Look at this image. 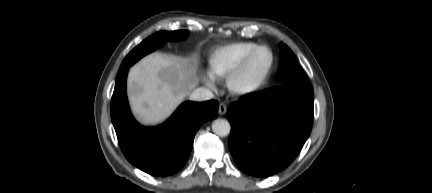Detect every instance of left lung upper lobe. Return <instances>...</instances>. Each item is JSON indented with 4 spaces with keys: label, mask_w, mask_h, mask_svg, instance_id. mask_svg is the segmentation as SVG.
I'll use <instances>...</instances> for the list:
<instances>
[{
    "label": "left lung upper lobe",
    "mask_w": 432,
    "mask_h": 193,
    "mask_svg": "<svg viewBox=\"0 0 432 193\" xmlns=\"http://www.w3.org/2000/svg\"><path fill=\"white\" fill-rule=\"evenodd\" d=\"M280 48V66L277 76L281 85L309 87L307 77L292 51L283 43H280Z\"/></svg>",
    "instance_id": "left-lung-upper-lobe-1"
}]
</instances>
